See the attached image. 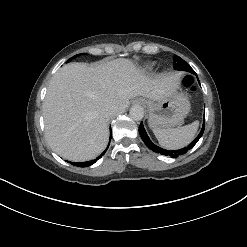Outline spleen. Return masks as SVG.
Segmentation results:
<instances>
[{"label":"spleen","instance_id":"spleen-1","mask_svg":"<svg viewBox=\"0 0 247 247\" xmlns=\"http://www.w3.org/2000/svg\"><path fill=\"white\" fill-rule=\"evenodd\" d=\"M199 122L174 129H153L159 144L167 149H179L188 145L195 137Z\"/></svg>","mask_w":247,"mask_h":247}]
</instances>
